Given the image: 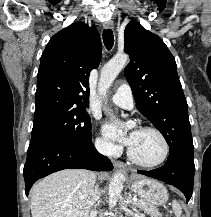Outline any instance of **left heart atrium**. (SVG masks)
<instances>
[{
	"label": "left heart atrium",
	"instance_id": "39dd6f15",
	"mask_svg": "<svg viewBox=\"0 0 211 217\" xmlns=\"http://www.w3.org/2000/svg\"><path fill=\"white\" fill-rule=\"evenodd\" d=\"M103 132L108 138L121 141L128 146H131L136 134V132L133 131L127 136L123 135L118 124L113 121H108L103 125Z\"/></svg>",
	"mask_w": 211,
	"mask_h": 217
}]
</instances>
